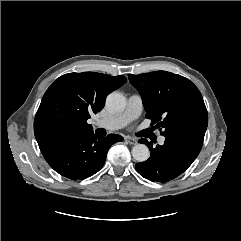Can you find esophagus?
Returning a JSON list of instances; mask_svg holds the SVG:
<instances>
[{"label":"esophagus","mask_w":241,"mask_h":241,"mask_svg":"<svg viewBox=\"0 0 241 241\" xmlns=\"http://www.w3.org/2000/svg\"><path fill=\"white\" fill-rule=\"evenodd\" d=\"M125 141L131 145L137 144V140L135 138L125 137Z\"/></svg>","instance_id":"esophagus-1"}]
</instances>
